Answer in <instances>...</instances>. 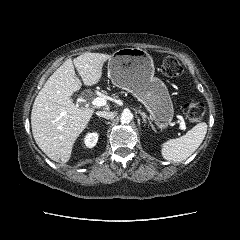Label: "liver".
Segmentation results:
<instances>
[{"label": "liver", "instance_id": "liver-1", "mask_svg": "<svg viewBox=\"0 0 240 240\" xmlns=\"http://www.w3.org/2000/svg\"><path fill=\"white\" fill-rule=\"evenodd\" d=\"M111 55L85 52L73 61L67 59L46 81L35 98L31 126L39 148L53 161L67 163L73 145L88 125L93 108L77 107L71 96L82 87L97 84L103 65Z\"/></svg>", "mask_w": 240, "mask_h": 240}]
</instances>
